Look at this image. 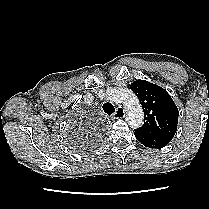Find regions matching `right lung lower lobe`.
<instances>
[{
    "label": "right lung lower lobe",
    "instance_id": "98d812e1",
    "mask_svg": "<svg viewBox=\"0 0 209 209\" xmlns=\"http://www.w3.org/2000/svg\"><path fill=\"white\" fill-rule=\"evenodd\" d=\"M79 146H80V145H79ZM85 147H86V146H84V145H81V146H80L81 149H85Z\"/></svg>",
    "mask_w": 209,
    "mask_h": 209
}]
</instances>
